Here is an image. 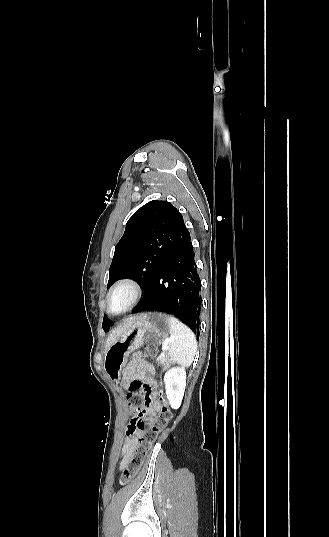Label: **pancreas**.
I'll list each match as a JSON object with an SVG mask.
<instances>
[{"label": "pancreas", "mask_w": 329, "mask_h": 537, "mask_svg": "<svg viewBox=\"0 0 329 537\" xmlns=\"http://www.w3.org/2000/svg\"><path fill=\"white\" fill-rule=\"evenodd\" d=\"M157 361L160 365H163L164 368H168L171 364V361L168 359V356L165 354L163 356L158 357Z\"/></svg>", "instance_id": "pancreas-1"}]
</instances>
